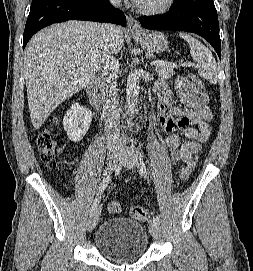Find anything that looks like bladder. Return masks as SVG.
I'll return each instance as SVG.
<instances>
[{"instance_id": "obj_1", "label": "bladder", "mask_w": 253, "mask_h": 271, "mask_svg": "<svg viewBox=\"0 0 253 271\" xmlns=\"http://www.w3.org/2000/svg\"><path fill=\"white\" fill-rule=\"evenodd\" d=\"M149 238L140 223L127 218H112L102 223L95 235V247L107 259L125 263L141 258Z\"/></svg>"}]
</instances>
